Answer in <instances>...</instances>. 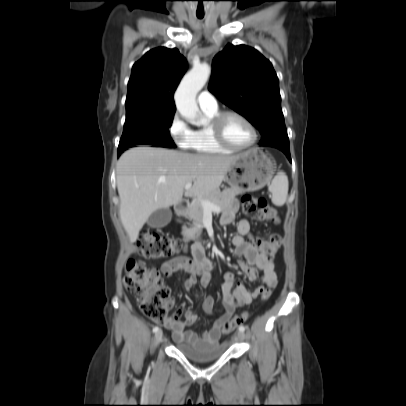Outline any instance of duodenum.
<instances>
[{"instance_id": "obj_1", "label": "duodenum", "mask_w": 406, "mask_h": 406, "mask_svg": "<svg viewBox=\"0 0 406 406\" xmlns=\"http://www.w3.org/2000/svg\"><path fill=\"white\" fill-rule=\"evenodd\" d=\"M189 208V201L187 200H180L176 202L175 209L178 213H183Z\"/></svg>"}]
</instances>
